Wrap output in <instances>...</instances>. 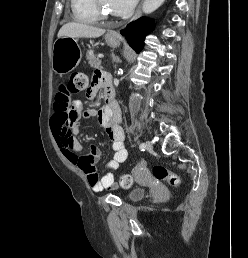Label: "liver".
Returning <instances> with one entry per match:
<instances>
[{"label":"liver","mask_w":248,"mask_h":258,"mask_svg":"<svg viewBox=\"0 0 248 258\" xmlns=\"http://www.w3.org/2000/svg\"><path fill=\"white\" fill-rule=\"evenodd\" d=\"M105 33L104 29L92 27L89 25L69 22L64 24L58 32V38L67 36L72 38H97Z\"/></svg>","instance_id":"obj_1"}]
</instances>
